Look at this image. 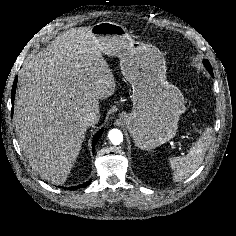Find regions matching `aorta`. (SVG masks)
I'll list each match as a JSON object with an SVG mask.
<instances>
[{"mask_svg":"<svg viewBox=\"0 0 236 236\" xmlns=\"http://www.w3.org/2000/svg\"><path fill=\"white\" fill-rule=\"evenodd\" d=\"M108 138L114 145H119L123 141V134L119 129H112L108 133Z\"/></svg>","mask_w":236,"mask_h":236,"instance_id":"762f6f07","label":"aorta"}]
</instances>
